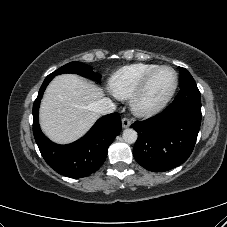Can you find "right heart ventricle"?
<instances>
[{"instance_id": "e07e8e85", "label": "right heart ventricle", "mask_w": 227, "mask_h": 227, "mask_svg": "<svg viewBox=\"0 0 227 227\" xmlns=\"http://www.w3.org/2000/svg\"><path fill=\"white\" fill-rule=\"evenodd\" d=\"M157 64L135 63L115 71L108 80L111 93L119 99H129L147 73Z\"/></svg>"}]
</instances>
